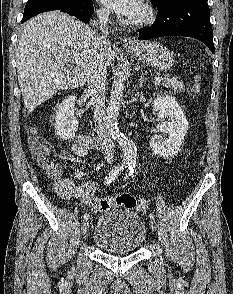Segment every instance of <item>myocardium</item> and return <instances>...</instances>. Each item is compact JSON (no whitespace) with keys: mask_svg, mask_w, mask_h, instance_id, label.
I'll return each mask as SVG.
<instances>
[{"mask_svg":"<svg viewBox=\"0 0 233 294\" xmlns=\"http://www.w3.org/2000/svg\"><path fill=\"white\" fill-rule=\"evenodd\" d=\"M155 17L154 10L151 5L145 4L141 11L140 16L132 20V24L136 26H143L151 23Z\"/></svg>","mask_w":233,"mask_h":294,"instance_id":"1","label":"myocardium"}]
</instances>
